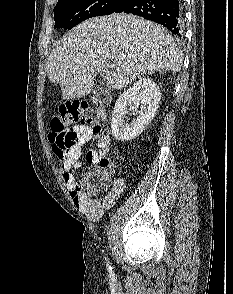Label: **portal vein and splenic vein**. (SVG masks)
Here are the masks:
<instances>
[{"label": "portal vein and splenic vein", "mask_w": 233, "mask_h": 294, "mask_svg": "<svg viewBox=\"0 0 233 294\" xmlns=\"http://www.w3.org/2000/svg\"><path fill=\"white\" fill-rule=\"evenodd\" d=\"M110 68H114L115 67V64H113V63H108L107 64Z\"/></svg>", "instance_id": "1"}]
</instances>
